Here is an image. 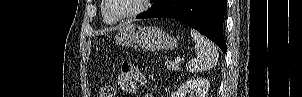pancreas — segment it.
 <instances>
[{"instance_id":"cf45deb5","label":"pancreas","mask_w":302,"mask_h":97,"mask_svg":"<svg viewBox=\"0 0 302 97\" xmlns=\"http://www.w3.org/2000/svg\"><path fill=\"white\" fill-rule=\"evenodd\" d=\"M164 65L167 67L168 71H177V70H179V67L177 66V64H175L173 62L166 61L164 63Z\"/></svg>"}]
</instances>
